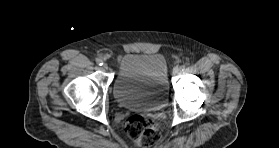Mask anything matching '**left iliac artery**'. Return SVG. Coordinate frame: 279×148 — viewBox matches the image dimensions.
<instances>
[{
  "label": "left iliac artery",
  "instance_id": "1",
  "mask_svg": "<svg viewBox=\"0 0 279 148\" xmlns=\"http://www.w3.org/2000/svg\"><path fill=\"white\" fill-rule=\"evenodd\" d=\"M180 68L182 71L185 70V65H182Z\"/></svg>",
  "mask_w": 279,
  "mask_h": 148
}]
</instances>
